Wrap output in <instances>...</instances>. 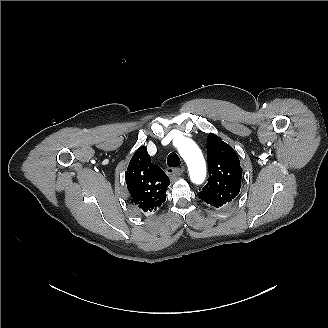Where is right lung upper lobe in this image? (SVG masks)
<instances>
[{"mask_svg":"<svg viewBox=\"0 0 328 328\" xmlns=\"http://www.w3.org/2000/svg\"><path fill=\"white\" fill-rule=\"evenodd\" d=\"M169 182L163 170L151 163L146 147L134 153L126 172V183L131 203L142 214L154 212L165 202Z\"/></svg>","mask_w":328,"mask_h":328,"instance_id":"cb5924a9","label":"right lung upper lobe"}]
</instances>
